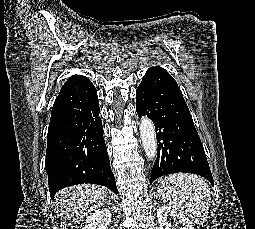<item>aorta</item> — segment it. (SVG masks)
Instances as JSON below:
<instances>
[{"label":"aorta","instance_id":"1","mask_svg":"<svg viewBox=\"0 0 255 229\" xmlns=\"http://www.w3.org/2000/svg\"><path fill=\"white\" fill-rule=\"evenodd\" d=\"M140 135L145 155L148 160H154L157 155V140L153 122L147 116L140 120Z\"/></svg>","mask_w":255,"mask_h":229}]
</instances>
